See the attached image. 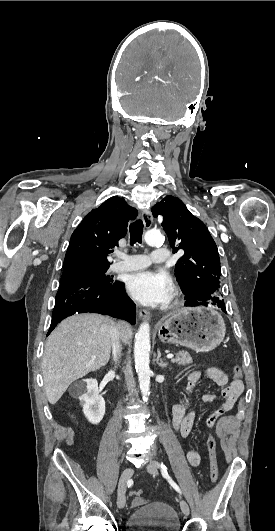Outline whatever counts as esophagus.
<instances>
[{
	"mask_svg": "<svg viewBox=\"0 0 275 531\" xmlns=\"http://www.w3.org/2000/svg\"><path fill=\"white\" fill-rule=\"evenodd\" d=\"M142 220L144 222L145 228L146 229L150 228L152 223H153V216H152L151 211H143L142 212ZM139 317L142 320L148 319V318H150V312L147 311L146 309H140L139 310Z\"/></svg>",
	"mask_w": 275,
	"mask_h": 531,
	"instance_id": "34e87169",
	"label": "esophagus"
}]
</instances>
